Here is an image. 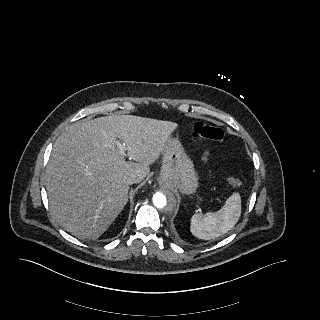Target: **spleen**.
Wrapping results in <instances>:
<instances>
[{
	"mask_svg": "<svg viewBox=\"0 0 320 320\" xmlns=\"http://www.w3.org/2000/svg\"><path fill=\"white\" fill-rule=\"evenodd\" d=\"M241 215V197L233 193L217 212L205 215L194 214L191 218V233L200 239L217 238L231 230Z\"/></svg>",
	"mask_w": 320,
	"mask_h": 320,
	"instance_id": "spleen-1",
	"label": "spleen"
}]
</instances>
